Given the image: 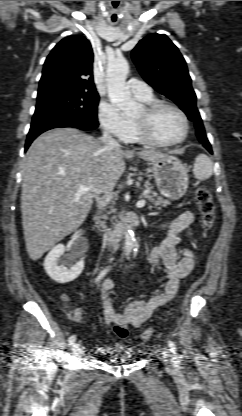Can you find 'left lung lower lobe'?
Here are the masks:
<instances>
[{
  "label": "left lung lower lobe",
  "instance_id": "obj_1",
  "mask_svg": "<svg viewBox=\"0 0 242 416\" xmlns=\"http://www.w3.org/2000/svg\"><path fill=\"white\" fill-rule=\"evenodd\" d=\"M203 143V142H202ZM203 146L212 154V149H211V145L208 141L203 143Z\"/></svg>",
  "mask_w": 242,
  "mask_h": 416
}]
</instances>
